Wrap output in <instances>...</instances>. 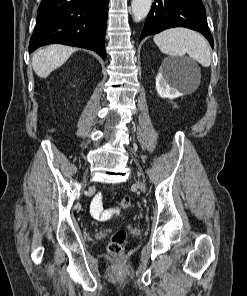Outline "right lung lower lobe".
<instances>
[{"label": "right lung lower lobe", "mask_w": 247, "mask_h": 296, "mask_svg": "<svg viewBox=\"0 0 247 296\" xmlns=\"http://www.w3.org/2000/svg\"><path fill=\"white\" fill-rule=\"evenodd\" d=\"M109 0H42L29 52L59 43L95 51L106 58L105 31Z\"/></svg>", "instance_id": "1"}]
</instances>
